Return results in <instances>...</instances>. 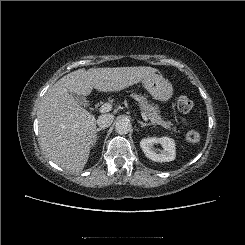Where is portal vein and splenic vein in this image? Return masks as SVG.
<instances>
[{
  "label": "portal vein and splenic vein",
  "instance_id": "obj_1",
  "mask_svg": "<svg viewBox=\"0 0 245 245\" xmlns=\"http://www.w3.org/2000/svg\"><path fill=\"white\" fill-rule=\"evenodd\" d=\"M111 109H112V105L110 103H105L100 107V112L106 113V112L111 111ZM141 116H142L144 121H148L147 116L143 112H141Z\"/></svg>",
  "mask_w": 245,
  "mask_h": 245
}]
</instances>
